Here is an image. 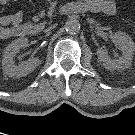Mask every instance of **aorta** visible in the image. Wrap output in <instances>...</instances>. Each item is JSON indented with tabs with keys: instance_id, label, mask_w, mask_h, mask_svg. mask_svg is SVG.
Here are the masks:
<instances>
[{
	"instance_id": "obj_1",
	"label": "aorta",
	"mask_w": 135,
	"mask_h": 135,
	"mask_svg": "<svg viewBox=\"0 0 135 135\" xmlns=\"http://www.w3.org/2000/svg\"><path fill=\"white\" fill-rule=\"evenodd\" d=\"M65 30L70 34H76L80 30V23L77 19H69L65 23Z\"/></svg>"
}]
</instances>
